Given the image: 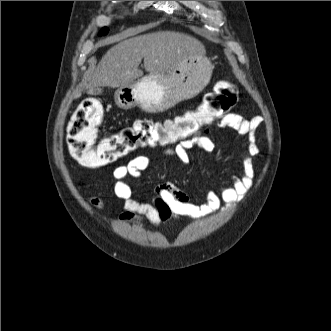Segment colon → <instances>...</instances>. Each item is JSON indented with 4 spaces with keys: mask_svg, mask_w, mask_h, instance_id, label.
<instances>
[{
    "mask_svg": "<svg viewBox=\"0 0 331 331\" xmlns=\"http://www.w3.org/2000/svg\"><path fill=\"white\" fill-rule=\"evenodd\" d=\"M238 95L234 84L223 81L194 111L166 120L140 119L99 141L96 137L103 122V107L97 99H86L73 114L68 127L69 152L82 165L101 167L139 147L177 143L223 118L236 104Z\"/></svg>",
    "mask_w": 331,
    "mask_h": 331,
    "instance_id": "obj_1",
    "label": "colon"
}]
</instances>
